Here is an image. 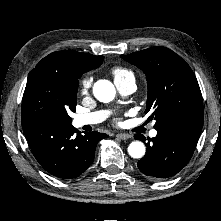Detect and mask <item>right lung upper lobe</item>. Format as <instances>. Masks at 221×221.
<instances>
[{
  "instance_id": "cb5924a9",
  "label": "right lung upper lobe",
  "mask_w": 221,
  "mask_h": 221,
  "mask_svg": "<svg viewBox=\"0 0 221 221\" xmlns=\"http://www.w3.org/2000/svg\"><path fill=\"white\" fill-rule=\"evenodd\" d=\"M103 56L72 50L57 51L43 58L29 74H54L69 80L78 87V79L87 71L99 67Z\"/></svg>"
}]
</instances>
